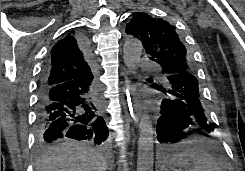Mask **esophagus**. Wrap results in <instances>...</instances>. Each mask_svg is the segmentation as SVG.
<instances>
[{"label":"esophagus","instance_id":"esophagus-1","mask_svg":"<svg viewBox=\"0 0 245 171\" xmlns=\"http://www.w3.org/2000/svg\"><path fill=\"white\" fill-rule=\"evenodd\" d=\"M124 105L128 111L129 119L132 123L138 124L140 119L139 104L135 97V88L126 77Z\"/></svg>","mask_w":245,"mask_h":171}]
</instances>
